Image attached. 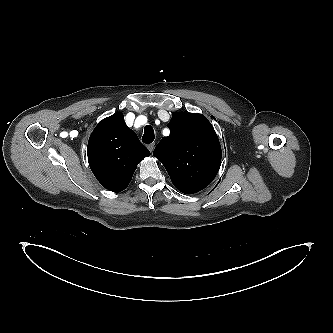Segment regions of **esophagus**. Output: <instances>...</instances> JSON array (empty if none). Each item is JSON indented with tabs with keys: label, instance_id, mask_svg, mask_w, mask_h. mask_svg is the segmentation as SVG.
I'll return each instance as SVG.
<instances>
[{
	"label": "esophagus",
	"instance_id": "obj_1",
	"mask_svg": "<svg viewBox=\"0 0 333 333\" xmlns=\"http://www.w3.org/2000/svg\"><path fill=\"white\" fill-rule=\"evenodd\" d=\"M155 147V143H151L147 146V148L149 149V151L152 153Z\"/></svg>",
	"mask_w": 333,
	"mask_h": 333
}]
</instances>
